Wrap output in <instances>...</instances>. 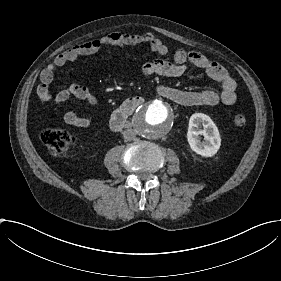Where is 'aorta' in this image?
<instances>
[{"mask_svg": "<svg viewBox=\"0 0 281 281\" xmlns=\"http://www.w3.org/2000/svg\"><path fill=\"white\" fill-rule=\"evenodd\" d=\"M135 131L148 139H158L169 132L173 125L169 108L161 101L138 107L133 115Z\"/></svg>", "mask_w": 281, "mask_h": 281, "instance_id": "1", "label": "aorta"}]
</instances>
